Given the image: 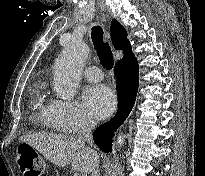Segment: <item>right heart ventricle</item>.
Wrapping results in <instances>:
<instances>
[{"label": "right heart ventricle", "instance_id": "right-heart-ventricle-1", "mask_svg": "<svg viewBox=\"0 0 205 176\" xmlns=\"http://www.w3.org/2000/svg\"><path fill=\"white\" fill-rule=\"evenodd\" d=\"M34 115L44 121L52 130L58 129V124L54 120L51 112L52 100L46 98L44 91L39 90L33 98Z\"/></svg>", "mask_w": 205, "mask_h": 176}]
</instances>
